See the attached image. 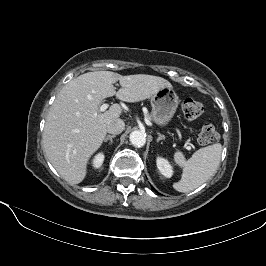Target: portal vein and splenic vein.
Listing matches in <instances>:
<instances>
[{
	"label": "portal vein and splenic vein",
	"instance_id": "obj_1",
	"mask_svg": "<svg viewBox=\"0 0 266 266\" xmlns=\"http://www.w3.org/2000/svg\"><path fill=\"white\" fill-rule=\"evenodd\" d=\"M108 107H109L108 104H102V105L99 107V111H100V112H104ZM186 149H187V150H190L191 147H190V146H186Z\"/></svg>",
	"mask_w": 266,
	"mask_h": 266
}]
</instances>
